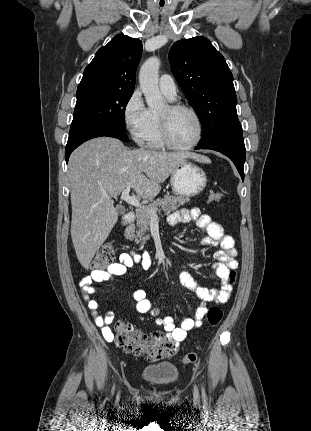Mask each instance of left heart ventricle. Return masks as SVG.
<instances>
[{
  "mask_svg": "<svg viewBox=\"0 0 311 431\" xmlns=\"http://www.w3.org/2000/svg\"><path fill=\"white\" fill-rule=\"evenodd\" d=\"M167 107L161 113L167 112ZM171 133L177 144H191L197 139L199 134L198 120L192 113L180 111L171 119Z\"/></svg>",
  "mask_w": 311,
  "mask_h": 431,
  "instance_id": "obj_1",
  "label": "left heart ventricle"
}]
</instances>
